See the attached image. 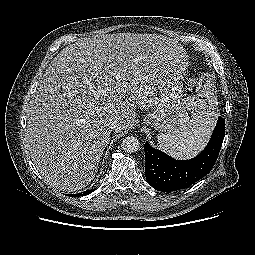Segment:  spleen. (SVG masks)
<instances>
[{"label":"spleen","mask_w":255,"mask_h":255,"mask_svg":"<svg viewBox=\"0 0 255 255\" xmlns=\"http://www.w3.org/2000/svg\"><path fill=\"white\" fill-rule=\"evenodd\" d=\"M216 117V113L205 109L195 111L191 128L178 134H159V147L177 159H188L197 155L208 142Z\"/></svg>","instance_id":"3e777b00"}]
</instances>
